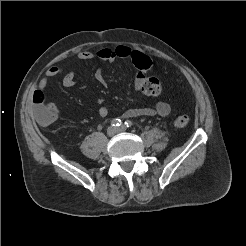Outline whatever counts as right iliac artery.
Wrapping results in <instances>:
<instances>
[{"mask_svg": "<svg viewBox=\"0 0 246 246\" xmlns=\"http://www.w3.org/2000/svg\"><path fill=\"white\" fill-rule=\"evenodd\" d=\"M121 124H122V122H121V120L118 119V118L113 119V120L111 121V125H112V126H115V127L120 126Z\"/></svg>", "mask_w": 246, "mask_h": 246, "instance_id": "right-iliac-artery-1", "label": "right iliac artery"}]
</instances>
